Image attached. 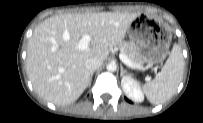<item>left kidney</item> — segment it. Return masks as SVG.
<instances>
[{"label":"left kidney","instance_id":"obj_1","mask_svg":"<svg viewBox=\"0 0 203 123\" xmlns=\"http://www.w3.org/2000/svg\"><path fill=\"white\" fill-rule=\"evenodd\" d=\"M121 86L125 95L135 102H142L144 100L143 92L139 83L131 76H123L121 80Z\"/></svg>","mask_w":203,"mask_h":123}]
</instances>
